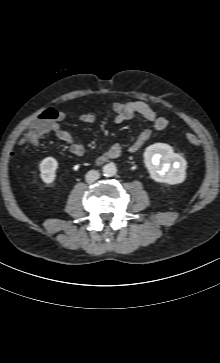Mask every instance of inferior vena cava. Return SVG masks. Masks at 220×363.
Instances as JSON below:
<instances>
[{
  "mask_svg": "<svg viewBox=\"0 0 220 363\" xmlns=\"http://www.w3.org/2000/svg\"><path fill=\"white\" fill-rule=\"evenodd\" d=\"M100 177V174L96 170H90L86 174V182L87 183H93Z\"/></svg>",
  "mask_w": 220,
  "mask_h": 363,
  "instance_id": "inferior-vena-cava-1",
  "label": "inferior vena cava"
}]
</instances>
